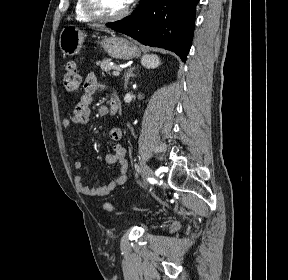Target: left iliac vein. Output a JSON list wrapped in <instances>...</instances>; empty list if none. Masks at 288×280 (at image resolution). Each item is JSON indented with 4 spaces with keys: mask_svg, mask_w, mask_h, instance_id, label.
I'll use <instances>...</instances> for the list:
<instances>
[{
    "mask_svg": "<svg viewBox=\"0 0 288 280\" xmlns=\"http://www.w3.org/2000/svg\"><path fill=\"white\" fill-rule=\"evenodd\" d=\"M142 172H143V176L152 177V179H154V180L157 179V177L152 176V173H151L150 169H149L147 166H144V167L142 168ZM145 186H148V183H147V182H145Z\"/></svg>",
    "mask_w": 288,
    "mask_h": 280,
    "instance_id": "left-iliac-vein-1",
    "label": "left iliac vein"
}]
</instances>
